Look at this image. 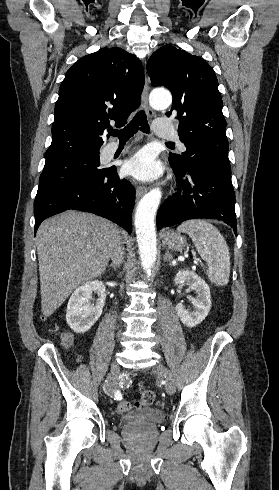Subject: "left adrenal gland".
Wrapping results in <instances>:
<instances>
[{
    "label": "left adrenal gland",
    "mask_w": 279,
    "mask_h": 490,
    "mask_svg": "<svg viewBox=\"0 0 279 490\" xmlns=\"http://www.w3.org/2000/svg\"><path fill=\"white\" fill-rule=\"evenodd\" d=\"M164 262H172L173 258L169 252V250H166V254L163 258Z\"/></svg>",
    "instance_id": "left-adrenal-gland-1"
}]
</instances>
